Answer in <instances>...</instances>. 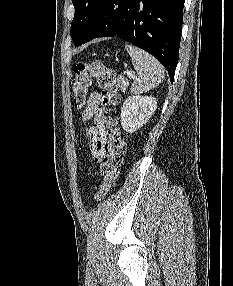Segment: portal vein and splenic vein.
<instances>
[{"instance_id":"portal-vein-and-splenic-vein-1","label":"portal vein and splenic vein","mask_w":233,"mask_h":286,"mask_svg":"<svg viewBox=\"0 0 233 286\" xmlns=\"http://www.w3.org/2000/svg\"><path fill=\"white\" fill-rule=\"evenodd\" d=\"M126 74H127V76H128L130 79L134 78V75H133L132 73L126 72Z\"/></svg>"}]
</instances>
